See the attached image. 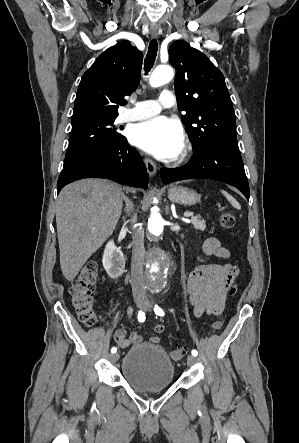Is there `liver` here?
Masks as SVG:
<instances>
[{
  "instance_id": "6515ba94",
  "label": "liver",
  "mask_w": 299,
  "mask_h": 443,
  "mask_svg": "<svg viewBox=\"0 0 299 443\" xmlns=\"http://www.w3.org/2000/svg\"><path fill=\"white\" fill-rule=\"evenodd\" d=\"M122 188L108 180L84 179L65 186L56 202L63 276L72 281L112 235L121 216Z\"/></svg>"
}]
</instances>
